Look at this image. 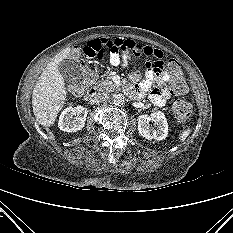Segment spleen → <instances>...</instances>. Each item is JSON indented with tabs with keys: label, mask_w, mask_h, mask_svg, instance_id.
<instances>
[{
	"label": "spleen",
	"mask_w": 233,
	"mask_h": 233,
	"mask_svg": "<svg viewBox=\"0 0 233 233\" xmlns=\"http://www.w3.org/2000/svg\"><path fill=\"white\" fill-rule=\"evenodd\" d=\"M191 128L190 127H187V128H184L182 131H180L179 133V140L180 141H184L191 133Z\"/></svg>",
	"instance_id": "obj_1"
}]
</instances>
